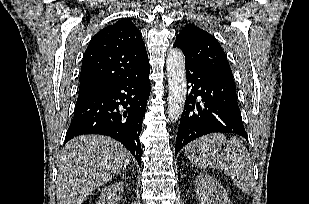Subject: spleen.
<instances>
[{"mask_svg":"<svg viewBox=\"0 0 309 204\" xmlns=\"http://www.w3.org/2000/svg\"><path fill=\"white\" fill-rule=\"evenodd\" d=\"M185 155L195 167L224 170L244 193L253 192L251 157L240 139L232 137L227 141L221 133L206 135L187 145Z\"/></svg>","mask_w":309,"mask_h":204,"instance_id":"1","label":"spleen"}]
</instances>
